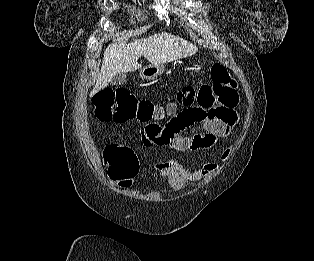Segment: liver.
Returning a JSON list of instances; mask_svg holds the SVG:
<instances>
[{
    "mask_svg": "<svg viewBox=\"0 0 314 261\" xmlns=\"http://www.w3.org/2000/svg\"><path fill=\"white\" fill-rule=\"evenodd\" d=\"M197 50L192 43L166 32L137 39L128 44L112 43L104 51L101 70L90 97L104 89L116 74L141 69L142 65L137 63L141 56L151 64H165L190 57Z\"/></svg>",
    "mask_w": 314,
    "mask_h": 261,
    "instance_id": "obj_1",
    "label": "liver"
}]
</instances>
